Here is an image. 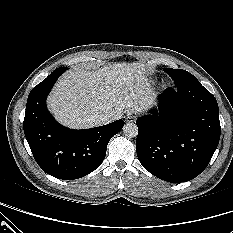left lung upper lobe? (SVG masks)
Masks as SVG:
<instances>
[{
    "label": "left lung upper lobe",
    "instance_id": "5c2ea615",
    "mask_svg": "<svg viewBox=\"0 0 233 233\" xmlns=\"http://www.w3.org/2000/svg\"><path fill=\"white\" fill-rule=\"evenodd\" d=\"M164 71L174 80L176 87L199 82L191 73L183 69L165 68Z\"/></svg>",
    "mask_w": 233,
    "mask_h": 233
}]
</instances>
